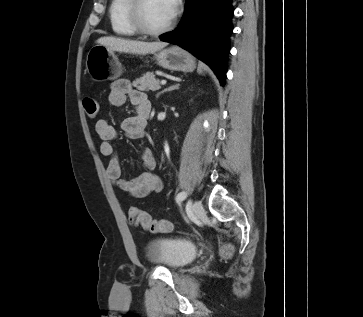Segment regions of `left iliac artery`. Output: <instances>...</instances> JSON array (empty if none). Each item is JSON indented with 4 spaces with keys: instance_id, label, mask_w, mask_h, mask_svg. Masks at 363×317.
Segmentation results:
<instances>
[{
    "instance_id": "1",
    "label": "left iliac artery",
    "mask_w": 363,
    "mask_h": 317,
    "mask_svg": "<svg viewBox=\"0 0 363 317\" xmlns=\"http://www.w3.org/2000/svg\"><path fill=\"white\" fill-rule=\"evenodd\" d=\"M187 197V193L186 192H180L177 196H176V202H182L185 198Z\"/></svg>"
}]
</instances>
